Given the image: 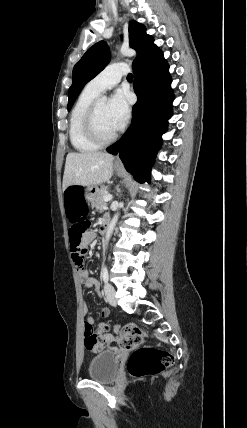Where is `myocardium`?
Returning a JSON list of instances; mask_svg holds the SVG:
<instances>
[{
    "label": "myocardium",
    "mask_w": 247,
    "mask_h": 428,
    "mask_svg": "<svg viewBox=\"0 0 247 428\" xmlns=\"http://www.w3.org/2000/svg\"><path fill=\"white\" fill-rule=\"evenodd\" d=\"M100 101H94L92 105L89 107L85 118H84V130L87 136L96 144L100 146L108 145L111 142H113L117 136L118 132L115 131L113 134H111L108 137H103L97 127H96V112L97 107Z\"/></svg>",
    "instance_id": "f54148a6"
}]
</instances>
